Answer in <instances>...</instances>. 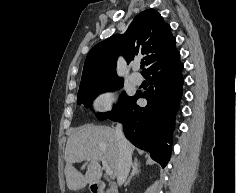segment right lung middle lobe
Listing matches in <instances>:
<instances>
[{
  "mask_svg": "<svg viewBox=\"0 0 237 193\" xmlns=\"http://www.w3.org/2000/svg\"><path fill=\"white\" fill-rule=\"evenodd\" d=\"M103 85V83L81 89L78 91V98L77 103H83L85 107H89L95 98V96L101 92H104L106 89L113 90L114 88L122 87L123 86V80H115V81H109L105 82L104 89H100V87ZM131 97L127 96L125 92H123L120 96V101L117 106L114 107L112 112L107 113H98L96 116L99 120H105L117 113H119L129 102Z\"/></svg>",
  "mask_w": 237,
  "mask_h": 193,
  "instance_id": "obj_1",
  "label": "right lung middle lobe"
}]
</instances>
